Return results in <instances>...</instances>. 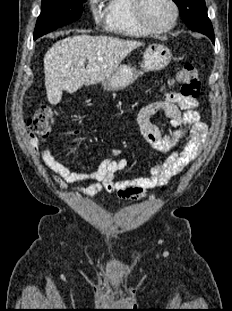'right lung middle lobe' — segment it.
Segmentation results:
<instances>
[{
    "instance_id": "1",
    "label": "right lung middle lobe",
    "mask_w": 232,
    "mask_h": 311,
    "mask_svg": "<svg viewBox=\"0 0 232 311\" xmlns=\"http://www.w3.org/2000/svg\"><path fill=\"white\" fill-rule=\"evenodd\" d=\"M84 2L86 0H42V9L36 23L34 39L78 20L83 11L82 4Z\"/></svg>"
}]
</instances>
